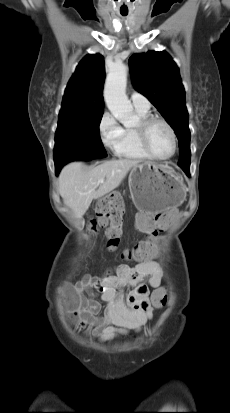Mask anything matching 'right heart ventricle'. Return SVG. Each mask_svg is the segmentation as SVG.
Returning <instances> with one entry per match:
<instances>
[{"mask_svg":"<svg viewBox=\"0 0 230 413\" xmlns=\"http://www.w3.org/2000/svg\"><path fill=\"white\" fill-rule=\"evenodd\" d=\"M140 119L148 117V111L136 109ZM115 154L119 158L143 161L150 157L144 152L138 139L135 127L122 128L121 139L115 149Z\"/></svg>","mask_w":230,"mask_h":413,"instance_id":"e07e8e85","label":"right heart ventricle"}]
</instances>
